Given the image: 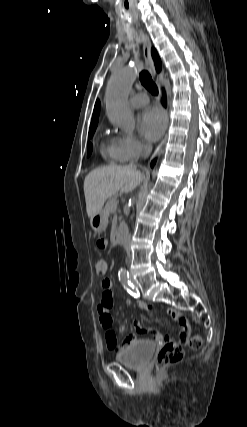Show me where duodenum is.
Listing matches in <instances>:
<instances>
[{"instance_id": "obj_1", "label": "duodenum", "mask_w": 247, "mask_h": 427, "mask_svg": "<svg viewBox=\"0 0 247 427\" xmlns=\"http://www.w3.org/2000/svg\"><path fill=\"white\" fill-rule=\"evenodd\" d=\"M126 225L125 224H120V226L118 227L116 234H115V240L118 244H123L125 241V236H126Z\"/></svg>"}]
</instances>
